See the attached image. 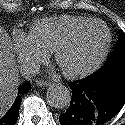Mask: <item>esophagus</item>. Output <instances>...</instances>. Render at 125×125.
Returning <instances> with one entry per match:
<instances>
[{
  "instance_id": "obj_1",
  "label": "esophagus",
  "mask_w": 125,
  "mask_h": 125,
  "mask_svg": "<svg viewBox=\"0 0 125 125\" xmlns=\"http://www.w3.org/2000/svg\"><path fill=\"white\" fill-rule=\"evenodd\" d=\"M36 84H37V86H40V87H46V86H48L50 83L47 82V81H44V80H37V81H36Z\"/></svg>"
}]
</instances>
